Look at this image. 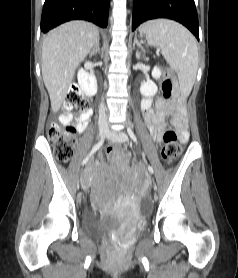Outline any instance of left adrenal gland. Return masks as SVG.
Segmentation results:
<instances>
[{
  "label": "left adrenal gland",
  "mask_w": 238,
  "mask_h": 278,
  "mask_svg": "<svg viewBox=\"0 0 238 278\" xmlns=\"http://www.w3.org/2000/svg\"><path fill=\"white\" fill-rule=\"evenodd\" d=\"M135 44H137L138 46H141V43L139 42L137 36H135L134 44L133 45L135 46Z\"/></svg>",
  "instance_id": "1"
}]
</instances>
